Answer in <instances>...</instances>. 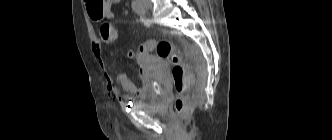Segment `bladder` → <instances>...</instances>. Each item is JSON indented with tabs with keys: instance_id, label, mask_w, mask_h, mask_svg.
I'll use <instances>...</instances> for the list:
<instances>
[{
	"instance_id": "obj_1",
	"label": "bladder",
	"mask_w": 332,
	"mask_h": 140,
	"mask_svg": "<svg viewBox=\"0 0 332 140\" xmlns=\"http://www.w3.org/2000/svg\"><path fill=\"white\" fill-rule=\"evenodd\" d=\"M165 99L164 92L152 91L144 99L134 101V105L145 110L157 109Z\"/></svg>"
}]
</instances>
